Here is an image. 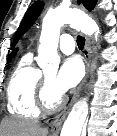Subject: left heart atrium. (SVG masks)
<instances>
[{"label": "left heart atrium", "instance_id": "left-heart-atrium-1", "mask_svg": "<svg viewBox=\"0 0 117 136\" xmlns=\"http://www.w3.org/2000/svg\"><path fill=\"white\" fill-rule=\"evenodd\" d=\"M83 67L79 59L70 57L65 59L54 80V89L58 95H62L74 88L82 79Z\"/></svg>", "mask_w": 117, "mask_h": 136}]
</instances>
